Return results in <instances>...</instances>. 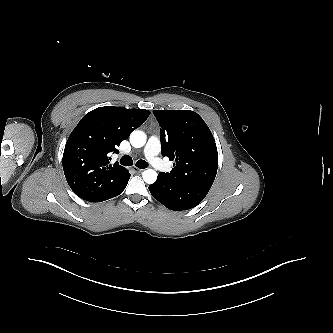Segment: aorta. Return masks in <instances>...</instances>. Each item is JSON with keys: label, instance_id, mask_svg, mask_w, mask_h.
Masks as SVG:
<instances>
[{"label": "aorta", "instance_id": "1", "mask_svg": "<svg viewBox=\"0 0 333 333\" xmlns=\"http://www.w3.org/2000/svg\"><path fill=\"white\" fill-rule=\"evenodd\" d=\"M146 134L140 130H134L130 135V143L135 148L143 147L146 143ZM143 180L148 183L152 184L157 179V173L153 169H147L143 172Z\"/></svg>", "mask_w": 333, "mask_h": 333}]
</instances>
